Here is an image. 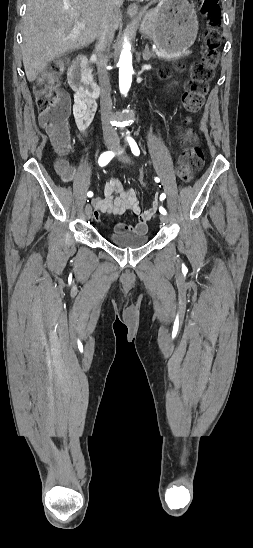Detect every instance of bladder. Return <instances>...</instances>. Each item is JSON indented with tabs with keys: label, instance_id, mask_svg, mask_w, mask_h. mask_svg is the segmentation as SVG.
<instances>
[{
	"label": "bladder",
	"instance_id": "1",
	"mask_svg": "<svg viewBox=\"0 0 253 548\" xmlns=\"http://www.w3.org/2000/svg\"><path fill=\"white\" fill-rule=\"evenodd\" d=\"M110 242L122 248H138L148 242L146 233H113L109 237Z\"/></svg>",
	"mask_w": 253,
	"mask_h": 548
}]
</instances>
